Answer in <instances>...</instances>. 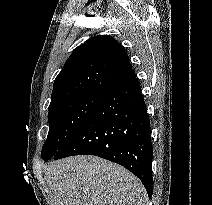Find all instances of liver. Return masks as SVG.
<instances>
[{"instance_id":"obj_1","label":"liver","mask_w":212,"mask_h":205,"mask_svg":"<svg viewBox=\"0 0 212 205\" xmlns=\"http://www.w3.org/2000/svg\"><path fill=\"white\" fill-rule=\"evenodd\" d=\"M51 205H145L146 190L128 170L82 155L46 167Z\"/></svg>"}]
</instances>
